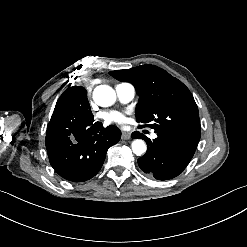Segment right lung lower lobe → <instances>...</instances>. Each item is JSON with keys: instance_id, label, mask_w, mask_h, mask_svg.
Returning <instances> with one entry per match:
<instances>
[{"instance_id": "98d812e1", "label": "right lung lower lobe", "mask_w": 247, "mask_h": 247, "mask_svg": "<svg viewBox=\"0 0 247 247\" xmlns=\"http://www.w3.org/2000/svg\"><path fill=\"white\" fill-rule=\"evenodd\" d=\"M53 116L62 120L63 125L61 135H46L51 166L72 182L91 179L101 169L107 150L120 140L121 131L114 125L103 128L101 122H94L92 113L84 115L66 108Z\"/></svg>"}]
</instances>
